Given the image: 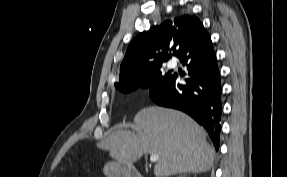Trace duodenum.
I'll return each instance as SVG.
<instances>
[{
  "mask_svg": "<svg viewBox=\"0 0 287 177\" xmlns=\"http://www.w3.org/2000/svg\"><path fill=\"white\" fill-rule=\"evenodd\" d=\"M116 174H121L124 177H143L139 174L138 170L134 167H124L115 171Z\"/></svg>",
  "mask_w": 287,
  "mask_h": 177,
  "instance_id": "1",
  "label": "duodenum"
}]
</instances>
